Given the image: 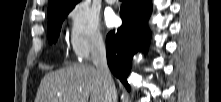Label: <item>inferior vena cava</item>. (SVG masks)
<instances>
[{"label":"inferior vena cava","instance_id":"602c4592","mask_svg":"<svg viewBox=\"0 0 221 102\" xmlns=\"http://www.w3.org/2000/svg\"><path fill=\"white\" fill-rule=\"evenodd\" d=\"M91 60L95 67L101 71L103 82L106 87L105 102H117V91L107 64L105 43L100 34L93 40Z\"/></svg>","mask_w":221,"mask_h":102}]
</instances>
